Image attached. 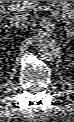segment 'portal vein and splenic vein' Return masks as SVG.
I'll use <instances>...</instances> for the list:
<instances>
[{
    "label": "portal vein and splenic vein",
    "mask_w": 74,
    "mask_h": 122,
    "mask_svg": "<svg viewBox=\"0 0 74 122\" xmlns=\"http://www.w3.org/2000/svg\"><path fill=\"white\" fill-rule=\"evenodd\" d=\"M28 4H30L29 1H21L20 3H9L8 7L11 11L24 10ZM38 8L43 11H50L54 18L59 15L58 10H54L51 6H38Z\"/></svg>",
    "instance_id": "obj_1"
}]
</instances>
